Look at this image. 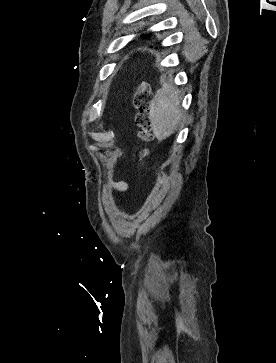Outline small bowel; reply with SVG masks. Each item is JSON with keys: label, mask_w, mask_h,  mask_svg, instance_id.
<instances>
[{"label": "small bowel", "mask_w": 276, "mask_h": 363, "mask_svg": "<svg viewBox=\"0 0 276 363\" xmlns=\"http://www.w3.org/2000/svg\"><path fill=\"white\" fill-rule=\"evenodd\" d=\"M111 186L119 192H125L129 188L128 183L123 180H114L111 182Z\"/></svg>", "instance_id": "1"}]
</instances>
